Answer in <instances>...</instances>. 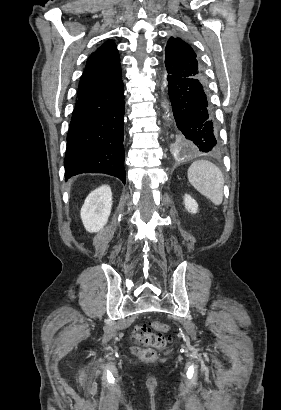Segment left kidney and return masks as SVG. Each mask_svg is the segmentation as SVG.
Listing matches in <instances>:
<instances>
[{"instance_id": "1", "label": "left kidney", "mask_w": 281, "mask_h": 410, "mask_svg": "<svg viewBox=\"0 0 281 410\" xmlns=\"http://www.w3.org/2000/svg\"><path fill=\"white\" fill-rule=\"evenodd\" d=\"M184 204H185V208L188 210V212L193 213V214L197 213L198 204L190 195H188V194L185 195Z\"/></svg>"}]
</instances>
